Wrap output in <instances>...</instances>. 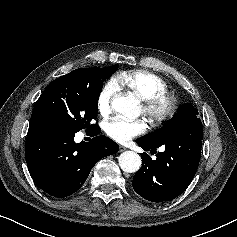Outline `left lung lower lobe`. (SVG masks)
<instances>
[{"label": "left lung lower lobe", "instance_id": "0a47b994", "mask_svg": "<svg viewBox=\"0 0 237 237\" xmlns=\"http://www.w3.org/2000/svg\"><path fill=\"white\" fill-rule=\"evenodd\" d=\"M202 139L203 128L199 118L176 136L158 144L138 138L137 144L145 151L155 154L159 147H163L164 151L156 155V160L147 153L140 154L142 167L133 178V189L151 202L170 201L182 194L197 171Z\"/></svg>", "mask_w": 237, "mask_h": 237}]
</instances>
